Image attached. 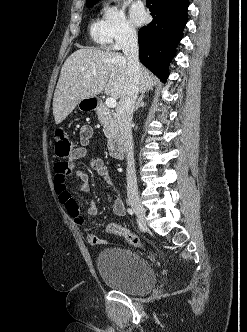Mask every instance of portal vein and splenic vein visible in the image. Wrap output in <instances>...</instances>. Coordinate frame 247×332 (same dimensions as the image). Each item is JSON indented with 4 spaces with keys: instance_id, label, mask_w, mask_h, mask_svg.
Masks as SVG:
<instances>
[{
    "instance_id": "18ae733b",
    "label": "portal vein and splenic vein",
    "mask_w": 247,
    "mask_h": 332,
    "mask_svg": "<svg viewBox=\"0 0 247 332\" xmlns=\"http://www.w3.org/2000/svg\"><path fill=\"white\" fill-rule=\"evenodd\" d=\"M105 104L109 108H114L117 105L116 99L114 97H108L105 101Z\"/></svg>"
}]
</instances>
